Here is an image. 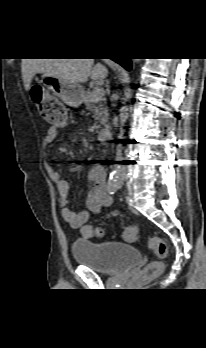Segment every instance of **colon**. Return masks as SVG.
I'll use <instances>...</instances> for the list:
<instances>
[{
  "instance_id": "1",
  "label": "colon",
  "mask_w": 206,
  "mask_h": 348,
  "mask_svg": "<svg viewBox=\"0 0 206 348\" xmlns=\"http://www.w3.org/2000/svg\"><path fill=\"white\" fill-rule=\"evenodd\" d=\"M32 99L40 114L54 127H64L68 123V115L61 102L51 94L45 93L41 88L32 89ZM82 236L86 239H94L102 235V230L92 225H84L81 228ZM139 228L135 225L128 226L124 231L126 241H134L138 238ZM156 256L164 259L168 256V246L159 237H151L148 242ZM163 270V263L158 260L147 265L140 274L144 277L159 275Z\"/></svg>"
}]
</instances>
